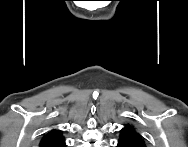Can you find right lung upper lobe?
<instances>
[{
	"label": "right lung upper lobe",
	"mask_w": 188,
	"mask_h": 147,
	"mask_svg": "<svg viewBox=\"0 0 188 147\" xmlns=\"http://www.w3.org/2000/svg\"><path fill=\"white\" fill-rule=\"evenodd\" d=\"M65 142L60 130L53 129L46 134L41 142L40 147H64Z\"/></svg>",
	"instance_id": "1"
}]
</instances>
